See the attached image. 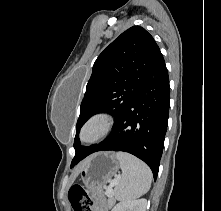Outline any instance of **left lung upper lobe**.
I'll return each mask as SVG.
<instances>
[{
  "mask_svg": "<svg viewBox=\"0 0 221 211\" xmlns=\"http://www.w3.org/2000/svg\"><path fill=\"white\" fill-rule=\"evenodd\" d=\"M153 37L142 27L133 26L115 39L96 59L80 107L71 167L90 154L96 145L82 147L80 128L89 117L107 112L115 117L114 126L141 88L160 54Z\"/></svg>",
  "mask_w": 221,
  "mask_h": 211,
  "instance_id": "1",
  "label": "left lung upper lobe"
}]
</instances>
